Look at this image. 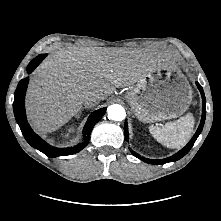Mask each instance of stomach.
<instances>
[{
    "label": "stomach",
    "instance_id": "stomach-1",
    "mask_svg": "<svg viewBox=\"0 0 221 221\" xmlns=\"http://www.w3.org/2000/svg\"><path fill=\"white\" fill-rule=\"evenodd\" d=\"M125 98L135 116L150 123L181 116L191 103L192 90L179 71L164 65L137 82Z\"/></svg>",
    "mask_w": 221,
    "mask_h": 221
}]
</instances>
